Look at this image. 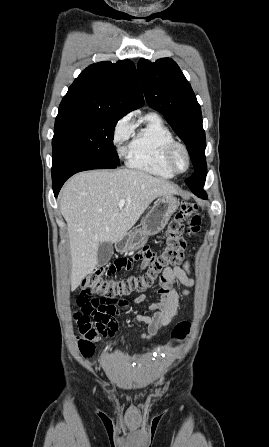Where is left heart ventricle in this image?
<instances>
[{
    "label": "left heart ventricle",
    "mask_w": 269,
    "mask_h": 447,
    "mask_svg": "<svg viewBox=\"0 0 269 447\" xmlns=\"http://www.w3.org/2000/svg\"><path fill=\"white\" fill-rule=\"evenodd\" d=\"M176 164L179 170H185L187 163H186V159L185 156L182 152H179L177 157H176Z\"/></svg>",
    "instance_id": "1"
}]
</instances>
